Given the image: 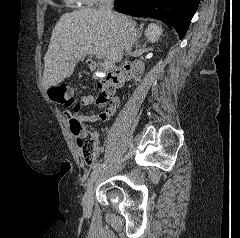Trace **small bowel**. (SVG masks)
I'll return each mask as SVG.
<instances>
[{
    "label": "small bowel",
    "mask_w": 240,
    "mask_h": 238,
    "mask_svg": "<svg viewBox=\"0 0 240 238\" xmlns=\"http://www.w3.org/2000/svg\"><path fill=\"white\" fill-rule=\"evenodd\" d=\"M93 102H94V97L92 95H85V96L81 97V99H80V103L83 106H89V105L93 104ZM118 105H119V100L117 97H114V99L106 107V109L100 113H95V114H91V115H81V114L72 113V112L66 110L64 112V114L68 120L70 118L74 117L82 123L103 122V121H107L114 115ZM94 135H95L96 139L98 140V134L94 133Z\"/></svg>",
    "instance_id": "small-bowel-1"
}]
</instances>
